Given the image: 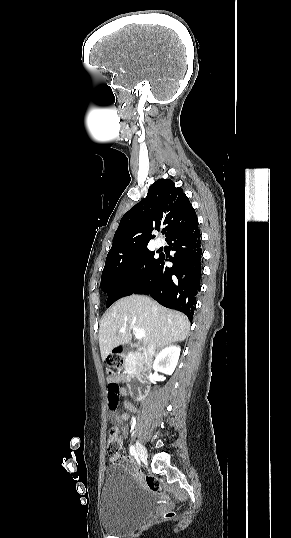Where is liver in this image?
I'll return each mask as SVG.
<instances>
[{"mask_svg":"<svg viewBox=\"0 0 291 538\" xmlns=\"http://www.w3.org/2000/svg\"><path fill=\"white\" fill-rule=\"evenodd\" d=\"M131 325L144 330V346L153 342L158 348L184 341L190 330V322L184 314L169 310L146 296L124 297L113 304L100 321L99 346L102 360L116 347L131 341ZM123 326L127 330L120 332Z\"/></svg>","mask_w":291,"mask_h":538,"instance_id":"1","label":"liver"}]
</instances>
